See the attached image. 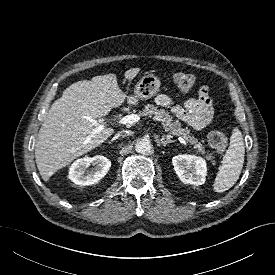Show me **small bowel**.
<instances>
[{
  "mask_svg": "<svg viewBox=\"0 0 275 275\" xmlns=\"http://www.w3.org/2000/svg\"><path fill=\"white\" fill-rule=\"evenodd\" d=\"M156 103L171 112L180 120L196 130H201L210 124L213 118V107L207 87H201L196 98H188L176 102L167 94H159Z\"/></svg>",
  "mask_w": 275,
  "mask_h": 275,
  "instance_id": "obj_1",
  "label": "small bowel"
}]
</instances>
